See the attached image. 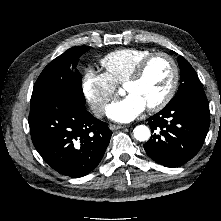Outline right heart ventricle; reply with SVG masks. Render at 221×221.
I'll list each match as a JSON object with an SVG mask.
<instances>
[{
	"mask_svg": "<svg viewBox=\"0 0 221 221\" xmlns=\"http://www.w3.org/2000/svg\"><path fill=\"white\" fill-rule=\"evenodd\" d=\"M152 51L141 48H122L105 55L101 65L112 81L117 84L125 83L137 64Z\"/></svg>",
	"mask_w": 221,
	"mask_h": 221,
	"instance_id": "1",
	"label": "right heart ventricle"
}]
</instances>
